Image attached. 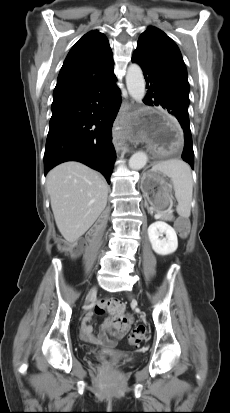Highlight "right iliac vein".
Masks as SVG:
<instances>
[{
    "label": "right iliac vein",
    "mask_w": 230,
    "mask_h": 413,
    "mask_svg": "<svg viewBox=\"0 0 230 413\" xmlns=\"http://www.w3.org/2000/svg\"><path fill=\"white\" fill-rule=\"evenodd\" d=\"M96 292H97L96 287H93V288L89 291V293H88V295H87V297H86V302H85V305H86V306H87V305L90 303V301L94 298V296L96 295Z\"/></svg>",
    "instance_id": "1"
}]
</instances>
